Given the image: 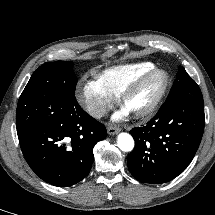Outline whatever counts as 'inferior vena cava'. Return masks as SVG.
<instances>
[{
	"label": "inferior vena cava",
	"instance_id": "obj_1",
	"mask_svg": "<svg viewBox=\"0 0 215 215\" xmlns=\"http://www.w3.org/2000/svg\"><path fill=\"white\" fill-rule=\"evenodd\" d=\"M89 111L90 114L95 118H101L107 114V110L104 107H92Z\"/></svg>",
	"mask_w": 215,
	"mask_h": 215
}]
</instances>
